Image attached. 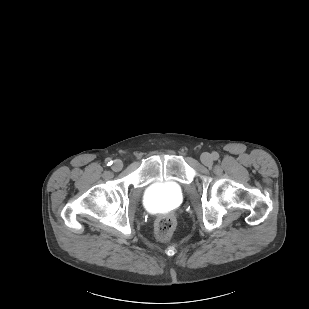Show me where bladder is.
Here are the masks:
<instances>
[{
	"instance_id": "obj_1",
	"label": "bladder",
	"mask_w": 309,
	"mask_h": 309,
	"mask_svg": "<svg viewBox=\"0 0 309 309\" xmlns=\"http://www.w3.org/2000/svg\"><path fill=\"white\" fill-rule=\"evenodd\" d=\"M184 198L183 189L174 181L156 182L149 185L143 194V203L152 211L174 209Z\"/></svg>"
}]
</instances>
